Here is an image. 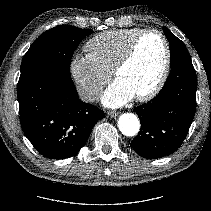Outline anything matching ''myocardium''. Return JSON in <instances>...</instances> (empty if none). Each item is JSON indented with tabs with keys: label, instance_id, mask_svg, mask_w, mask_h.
Masks as SVG:
<instances>
[{
	"label": "myocardium",
	"instance_id": "f54148a6",
	"mask_svg": "<svg viewBox=\"0 0 211 211\" xmlns=\"http://www.w3.org/2000/svg\"><path fill=\"white\" fill-rule=\"evenodd\" d=\"M149 33H154L157 36L160 37V39L163 42V46H164V64H163V68L162 71L159 75V78L157 79L156 83L154 84V86L148 90L147 92L137 95L135 96V99L137 101L140 102H145V101H149L151 99H153L163 88V86L165 85L167 78L169 76L170 73V66H171V50H170V45L169 42L166 38V36L158 29L156 28H146V29H142L131 41V43L129 44L127 50L125 51V53L123 54V56L119 59V61L116 63V65L114 66L111 74L112 77L114 79L117 78L118 74L125 69L133 60L139 42L140 40L143 38V36H145L146 34Z\"/></svg>",
	"mask_w": 211,
	"mask_h": 211
}]
</instances>
